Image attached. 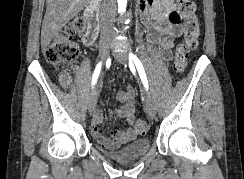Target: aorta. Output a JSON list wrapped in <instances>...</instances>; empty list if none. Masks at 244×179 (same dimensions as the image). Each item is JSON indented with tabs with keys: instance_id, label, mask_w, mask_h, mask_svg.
Instances as JSON below:
<instances>
[{
	"instance_id": "1",
	"label": "aorta",
	"mask_w": 244,
	"mask_h": 179,
	"mask_svg": "<svg viewBox=\"0 0 244 179\" xmlns=\"http://www.w3.org/2000/svg\"><path fill=\"white\" fill-rule=\"evenodd\" d=\"M119 14L125 12L127 6V0H117Z\"/></svg>"
}]
</instances>
